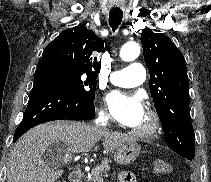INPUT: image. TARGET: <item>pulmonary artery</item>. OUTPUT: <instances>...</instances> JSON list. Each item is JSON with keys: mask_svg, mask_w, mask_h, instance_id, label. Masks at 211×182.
<instances>
[{"mask_svg": "<svg viewBox=\"0 0 211 182\" xmlns=\"http://www.w3.org/2000/svg\"><path fill=\"white\" fill-rule=\"evenodd\" d=\"M146 70L140 63H132L128 67L112 72L110 81L121 87H134L145 81Z\"/></svg>", "mask_w": 211, "mask_h": 182, "instance_id": "1", "label": "pulmonary artery"}]
</instances>
